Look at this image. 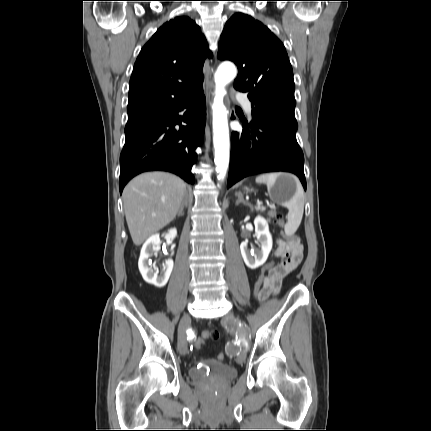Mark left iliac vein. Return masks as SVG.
I'll list each match as a JSON object with an SVG mask.
<instances>
[{"label": "left iliac vein", "mask_w": 431, "mask_h": 431, "mask_svg": "<svg viewBox=\"0 0 431 431\" xmlns=\"http://www.w3.org/2000/svg\"><path fill=\"white\" fill-rule=\"evenodd\" d=\"M223 322L226 324V325H232V324H236L237 323V319H236V317L234 316V314H232V313H228L227 315H225L224 316V318H223ZM245 360H246V351L245 350H243L238 356H237V358H236V362L238 363V364H243L244 362H245Z\"/></svg>", "instance_id": "4c4485c4"}]
</instances>
